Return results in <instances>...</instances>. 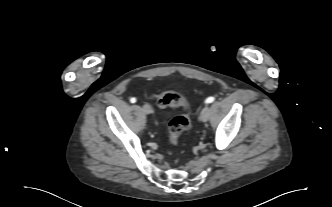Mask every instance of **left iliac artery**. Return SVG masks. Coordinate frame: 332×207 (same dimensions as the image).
I'll use <instances>...</instances> for the list:
<instances>
[{
    "instance_id": "left-iliac-artery-1",
    "label": "left iliac artery",
    "mask_w": 332,
    "mask_h": 207,
    "mask_svg": "<svg viewBox=\"0 0 332 207\" xmlns=\"http://www.w3.org/2000/svg\"><path fill=\"white\" fill-rule=\"evenodd\" d=\"M215 100V98L214 97H209V98H207L206 100H205V103H212L213 101Z\"/></svg>"
}]
</instances>
